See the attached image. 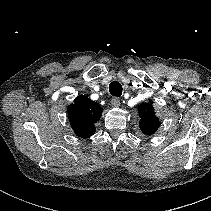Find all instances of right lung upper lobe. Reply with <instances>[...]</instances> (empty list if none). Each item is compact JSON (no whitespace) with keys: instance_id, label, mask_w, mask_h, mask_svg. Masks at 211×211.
<instances>
[{"instance_id":"obj_1","label":"right lung upper lobe","mask_w":211,"mask_h":211,"mask_svg":"<svg viewBox=\"0 0 211 211\" xmlns=\"http://www.w3.org/2000/svg\"><path fill=\"white\" fill-rule=\"evenodd\" d=\"M102 115V107L85 95L75 98L74 103L68 106V118L74 132L86 138L96 131L95 123Z\"/></svg>"}]
</instances>
